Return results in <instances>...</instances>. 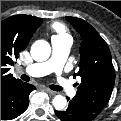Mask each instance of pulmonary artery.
I'll use <instances>...</instances> for the list:
<instances>
[{"label": "pulmonary artery", "instance_id": "obj_1", "mask_svg": "<svg viewBox=\"0 0 121 121\" xmlns=\"http://www.w3.org/2000/svg\"><path fill=\"white\" fill-rule=\"evenodd\" d=\"M71 45L72 40L69 36L54 37L52 39L51 58L45 62L31 64L22 71L32 77H43L55 73L57 83L62 87L63 91L70 96H75V90L62 73Z\"/></svg>", "mask_w": 121, "mask_h": 121}]
</instances>
